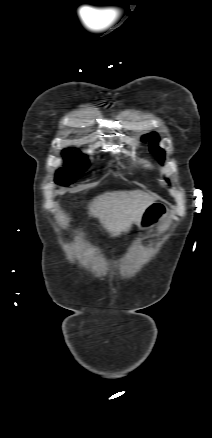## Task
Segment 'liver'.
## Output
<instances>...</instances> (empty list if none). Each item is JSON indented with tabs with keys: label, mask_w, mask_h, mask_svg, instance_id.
<instances>
[{
	"label": "liver",
	"mask_w": 212,
	"mask_h": 438,
	"mask_svg": "<svg viewBox=\"0 0 212 438\" xmlns=\"http://www.w3.org/2000/svg\"><path fill=\"white\" fill-rule=\"evenodd\" d=\"M154 201L152 196L138 190L107 192L93 200L89 212L111 236H118L128 232L132 224L139 225L144 210Z\"/></svg>",
	"instance_id": "obj_1"
}]
</instances>
